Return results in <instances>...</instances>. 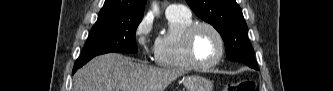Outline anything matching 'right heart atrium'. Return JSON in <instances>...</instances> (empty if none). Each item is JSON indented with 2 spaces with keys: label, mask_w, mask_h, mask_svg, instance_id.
Masks as SVG:
<instances>
[{
  "label": "right heart atrium",
  "mask_w": 333,
  "mask_h": 91,
  "mask_svg": "<svg viewBox=\"0 0 333 91\" xmlns=\"http://www.w3.org/2000/svg\"><path fill=\"white\" fill-rule=\"evenodd\" d=\"M152 30V21L149 17H143L134 28V39L137 45L141 48L144 55L152 56L155 49V44L151 42L150 35Z\"/></svg>",
  "instance_id": "obj_1"
}]
</instances>
